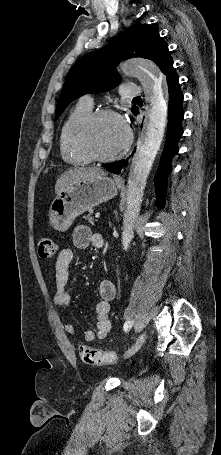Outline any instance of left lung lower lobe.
Returning a JSON list of instances; mask_svg holds the SVG:
<instances>
[{
    "label": "left lung lower lobe",
    "instance_id": "1",
    "mask_svg": "<svg viewBox=\"0 0 221 455\" xmlns=\"http://www.w3.org/2000/svg\"><path fill=\"white\" fill-rule=\"evenodd\" d=\"M164 74L166 75L168 83L169 119L164 149L154 178L157 196L156 204L160 208H162L165 203V200L163 198L165 197L167 189V177L172 170L171 159L179 151L177 143L183 134L181 122L184 117V112L182 110L183 94L180 90L178 82L179 77L173 65L167 69ZM137 113L138 110L134 114L137 115ZM126 164L127 160H119L107 164L105 168L114 174H118Z\"/></svg>",
    "mask_w": 221,
    "mask_h": 455
}]
</instances>
